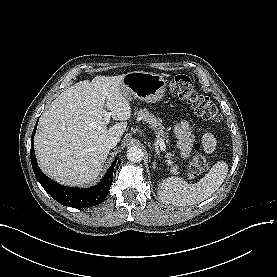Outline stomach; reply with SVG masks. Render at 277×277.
Wrapping results in <instances>:
<instances>
[{
    "label": "stomach",
    "instance_id": "stomach-1",
    "mask_svg": "<svg viewBox=\"0 0 277 277\" xmlns=\"http://www.w3.org/2000/svg\"><path fill=\"white\" fill-rule=\"evenodd\" d=\"M167 81L160 74L132 71L124 75L120 87L126 97L141 101L154 102L162 99L166 92Z\"/></svg>",
    "mask_w": 277,
    "mask_h": 277
}]
</instances>
